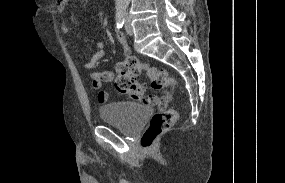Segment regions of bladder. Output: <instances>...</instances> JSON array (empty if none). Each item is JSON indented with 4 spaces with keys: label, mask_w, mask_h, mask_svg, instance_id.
Segmentation results:
<instances>
[{
    "label": "bladder",
    "mask_w": 285,
    "mask_h": 183,
    "mask_svg": "<svg viewBox=\"0 0 285 183\" xmlns=\"http://www.w3.org/2000/svg\"><path fill=\"white\" fill-rule=\"evenodd\" d=\"M152 112L149 105L126 102L108 103L99 110L103 122L114 124L126 132L136 130Z\"/></svg>",
    "instance_id": "bladder-1"
}]
</instances>
